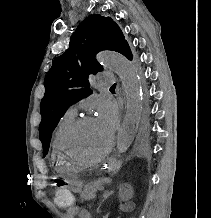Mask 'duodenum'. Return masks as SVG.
I'll return each mask as SVG.
<instances>
[{
  "label": "duodenum",
  "instance_id": "1",
  "mask_svg": "<svg viewBox=\"0 0 211 218\" xmlns=\"http://www.w3.org/2000/svg\"><path fill=\"white\" fill-rule=\"evenodd\" d=\"M81 218H91L90 213L87 210H82Z\"/></svg>",
  "mask_w": 211,
  "mask_h": 218
}]
</instances>
